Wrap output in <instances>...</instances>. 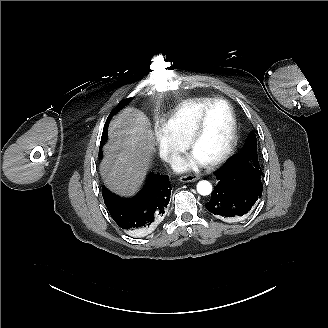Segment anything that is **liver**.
<instances>
[{"mask_svg": "<svg viewBox=\"0 0 328 328\" xmlns=\"http://www.w3.org/2000/svg\"><path fill=\"white\" fill-rule=\"evenodd\" d=\"M100 172L105 185L120 196L141 188L155 152L150 119L139 109L126 107L110 122Z\"/></svg>", "mask_w": 328, "mask_h": 328, "instance_id": "liver-1", "label": "liver"}]
</instances>
